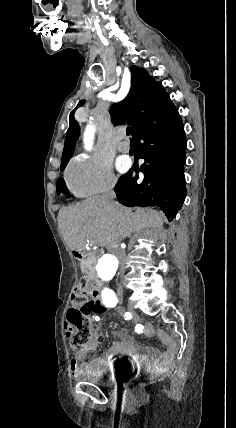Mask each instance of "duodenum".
<instances>
[{
    "label": "duodenum",
    "mask_w": 236,
    "mask_h": 428,
    "mask_svg": "<svg viewBox=\"0 0 236 428\" xmlns=\"http://www.w3.org/2000/svg\"><path fill=\"white\" fill-rule=\"evenodd\" d=\"M74 257L76 258V260L80 263L83 264L85 261V254L81 251H74L73 252ZM104 291L101 285L99 284H95L92 286L91 289V294L95 299H101L102 295H103Z\"/></svg>",
    "instance_id": "obj_1"
}]
</instances>
